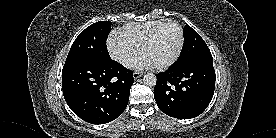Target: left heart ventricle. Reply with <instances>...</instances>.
Segmentation results:
<instances>
[{"mask_svg": "<svg viewBox=\"0 0 276 138\" xmlns=\"http://www.w3.org/2000/svg\"><path fill=\"white\" fill-rule=\"evenodd\" d=\"M180 42L178 28L172 24H164L151 43L146 49L144 55L150 58L156 66L162 65L173 58Z\"/></svg>", "mask_w": 276, "mask_h": 138, "instance_id": "left-heart-ventricle-1", "label": "left heart ventricle"}]
</instances>
